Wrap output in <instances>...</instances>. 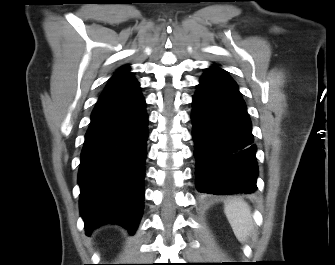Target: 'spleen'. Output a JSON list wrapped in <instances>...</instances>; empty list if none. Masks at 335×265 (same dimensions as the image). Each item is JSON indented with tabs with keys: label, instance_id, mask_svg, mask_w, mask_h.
<instances>
[{
	"label": "spleen",
	"instance_id": "1",
	"mask_svg": "<svg viewBox=\"0 0 335 265\" xmlns=\"http://www.w3.org/2000/svg\"><path fill=\"white\" fill-rule=\"evenodd\" d=\"M224 212L236 238L240 242H245L253 228V219L248 204L241 199H233L225 204Z\"/></svg>",
	"mask_w": 335,
	"mask_h": 265
}]
</instances>
